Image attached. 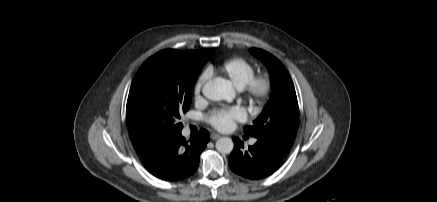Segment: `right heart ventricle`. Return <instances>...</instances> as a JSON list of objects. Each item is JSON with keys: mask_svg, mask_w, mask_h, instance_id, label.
Returning <instances> with one entry per match:
<instances>
[{"mask_svg": "<svg viewBox=\"0 0 437 202\" xmlns=\"http://www.w3.org/2000/svg\"><path fill=\"white\" fill-rule=\"evenodd\" d=\"M214 70L229 78L238 89H242L255 74L254 66L241 57L227 59L218 64Z\"/></svg>", "mask_w": 437, "mask_h": 202, "instance_id": "obj_1", "label": "right heart ventricle"}]
</instances>
